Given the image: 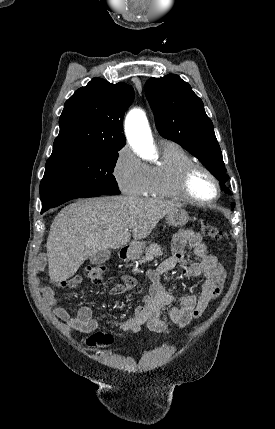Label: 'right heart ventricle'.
Listing matches in <instances>:
<instances>
[{
  "instance_id": "e07e8e85",
  "label": "right heart ventricle",
  "mask_w": 275,
  "mask_h": 429,
  "mask_svg": "<svg viewBox=\"0 0 275 429\" xmlns=\"http://www.w3.org/2000/svg\"><path fill=\"white\" fill-rule=\"evenodd\" d=\"M161 159L149 167V184L145 195L159 199H184L178 189V178L183 168L194 159L173 142L161 144Z\"/></svg>"
}]
</instances>
